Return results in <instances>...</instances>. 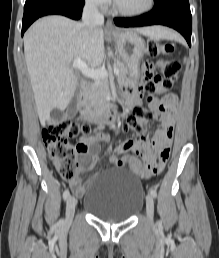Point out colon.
Wrapping results in <instances>:
<instances>
[{
    "mask_svg": "<svg viewBox=\"0 0 219 258\" xmlns=\"http://www.w3.org/2000/svg\"><path fill=\"white\" fill-rule=\"evenodd\" d=\"M148 53L159 58L160 74L145 84V91L151 95L166 94L177 82L180 72V62L172 56L173 46L150 40L147 43ZM153 119V113L142 105H137L127 116L121 126L125 132L133 131L142 138L146 137L143 125ZM93 131L90 124H79L68 118L52 119L43 129L42 136L49 157L60 176L72 180L78 171V155L80 143H74L78 137L89 135Z\"/></svg>",
    "mask_w": 219,
    "mask_h": 258,
    "instance_id": "5ec220e1",
    "label": "colon"
}]
</instances>
